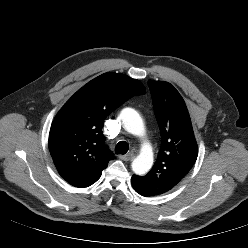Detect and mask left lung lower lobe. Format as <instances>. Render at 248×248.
Segmentation results:
<instances>
[{"mask_svg":"<svg viewBox=\"0 0 248 248\" xmlns=\"http://www.w3.org/2000/svg\"><path fill=\"white\" fill-rule=\"evenodd\" d=\"M133 186V188L140 194V195H142V196H151V195H149L148 193H146L143 189H141V188H139V187H137V186H134V185H132Z\"/></svg>","mask_w":248,"mask_h":248,"instance_id":"0a47b994","label":"left lung lower lobe"}]
</instances>
